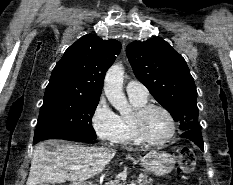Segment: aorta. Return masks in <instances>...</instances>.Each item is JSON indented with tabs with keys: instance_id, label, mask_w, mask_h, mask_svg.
<instances>
[{
	"instance_id": "1",
	"label": "aorta",
	"mask_w": 233,
	"mask_h": 185,
	"mask_svg": "<svg viewBox=\"0 0 233 185\" xmlns=\"http://www.w3.org/2000/svg\"><path fill=\"white\" fill-rule=\"evenodd\" d=\"M123 79V66L114 64L107 71L104 81V92L108 101L122 115L131 112V106L123 93Z\"/></svg>"
}]
</instances>
